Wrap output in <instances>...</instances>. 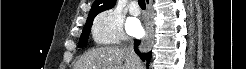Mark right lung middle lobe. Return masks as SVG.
Listing matches in <instances>:
<instances>
[{
    "label": "right lung middle lobe",
    "mask_w": 246,
    "mask_h": 69,
    "mask_svg": "<svg viewBox=\"0 0 246 69\" xmlns=\"http://www.w3.org/2000/svg\"><path fill=\"white\" fill-rule=\"evenodd\" d=\"M92 22L93 21H86V24L84 26V30L80 36V40H79V45L78 47L81 48V47H85L86 44H87V40H88V36H89V33H90V28L92 26Z\"/></svg>",
    "instance_id": "obj_1"
}]
</instances>
